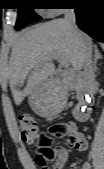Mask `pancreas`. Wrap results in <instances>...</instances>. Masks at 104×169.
I'll list each match as a JSON object with an SVG mask.
<instances>
[{
    "label": "pancreas",
    "instance_id": "1",
    "mask_svg": "<svg viewBox=\"0 0 104 169\" xmlns=\"http://www.w3.org/2000/svg\"><path fill=\"white\" fill-rule=\"evenodd\" d=\"M73 82H74V80L72 79V77H66V78L63 80L64 87L71 89L72 86H73Z\"/></svg>",
    "mask_w": 104,
    "mask_h": 169
}]
</instances>
